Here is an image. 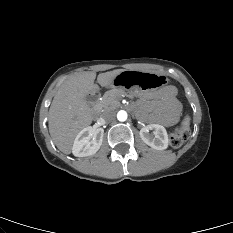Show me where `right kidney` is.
<instances>
[{
  "label": "right kidney",
  "mask_w": 233,
  "mask_h": 233,
  "mask_svg": "<svg viewBox=\"0 0 233 233\" xmlns=\"http://www.w3.org/2000/svg\"><path fill=\"white\" fill-rule=\"evenodd\" d=\"M104 130L91 127L82 129L74 140L72 153L76 157H85L95 154L101 147Z\"/></svg>",
  "instance_id": "right-kidney-1"
}]
</instances>
